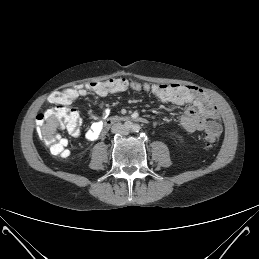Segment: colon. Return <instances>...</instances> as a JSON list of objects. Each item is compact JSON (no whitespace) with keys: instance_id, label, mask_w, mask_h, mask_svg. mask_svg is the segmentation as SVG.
<instances>
[{"instance_id":"5ec220e1","label":"colon","mask_w":259,"mask_h":259,"mask_svg":"<svg viewBox=\"0 0 259 259\" xmlns=\"http://www.w3.org/2000/svg\"><path fill=\"white\" fill-rule=\"evenodd\" d=\"M132 89L135 91H145L161 98L165 103H184L189 100H200L203 97V90L200 87L183 84H147L130 81L125 78H112L104 81H93L85 85L80 90L63 89L54 91L49 96V101L57 106L56 109L47 113H41L36 117V125L40 136L46 142L50 152L56 156L65 157L69 152L67 141L58 133L46 136L44 133V123L47 118H56L60 125L69 133L76 136L80 132L81 116L69 106L77 99L78 95L86 90L98 94L106 95L119 93ZM221 128L216 122H210L205 129V140L208 146L212 145L220 136Z\"/></svg>"}]
</instances>
